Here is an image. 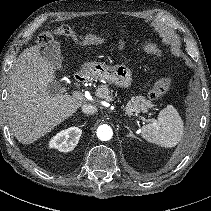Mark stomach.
Masks as SVG:
<instances>
[{
    "label": "stomach",
    "instance_id": "stomach-1",
    "mask_svg": "<svg viewBox=\"0 0 211 211\" xmlns=\"http://www.w3.org/2000/svg\"><path fill=\"white\" fill-rule=\"evenodd\" d=\"M84 70L94 78L105 80L120 88H128L132 83V72L124 64L107 67L100 62H88L84 64Z\"/></svg>",
    "mask_w": 211,
    "mask_h": 211
}]
</instances>
